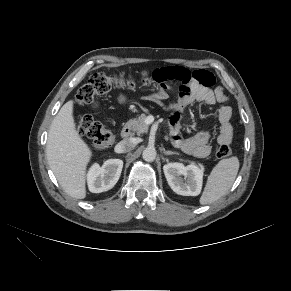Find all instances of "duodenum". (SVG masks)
<instances>
[{
    "mask_svg": "<svg viewBox=\"0 0 291 291\" xmlns=\"http://www.w3.org/2000/svg\"><path fill=\"white\" fill-rule=\"evenodd\" d=\"M130 133H131V129H130L129 124H125L121 129V133H120L121 137L127 138V137H129Z\"/></svg>",
    "mask_w": 291,
    "mask_h": 291,
    "instance_id": "duodenum-1",
    "label": "duodenum"
}]
</instances>
